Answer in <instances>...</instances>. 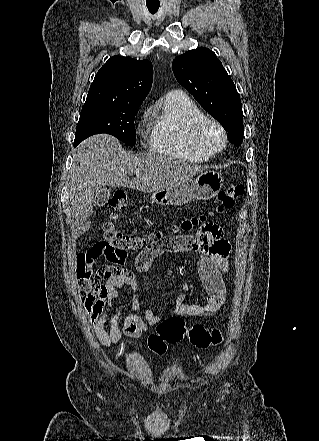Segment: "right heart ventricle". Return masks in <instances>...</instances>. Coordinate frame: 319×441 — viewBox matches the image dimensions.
Listing matches in <instances>:
<instances>
[{"label": "right heart ventricle", "instance_id": "e07e8e85", "mask_svg": "<svg viewBox=\"0 0 319 441\" xmlns=\"http://www.w3.org/2000/svg\"><path fill=\"white\" fill-rule=\"evenodd\" d=\"M206 118L200 107L186 95H167L161 112L150 126L149 143L153 153L188 162H205L213 155L192 143L194 125Z\"/></svg>", "mask_w": 319, "mask_h": 441}]
</instances>
